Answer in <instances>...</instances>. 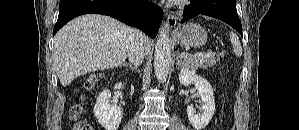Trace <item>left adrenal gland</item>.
Masks as SVG:
<instances>
[{
	"label": "left adrenal gland",
	"mask_w": 299,
	"mask_h": 130,
	"mask_svg": "<svg viewBox=\"0 0 299 130\" xmlns=\"http://www.w3.org/2000/svg\"><path fill=\"white\" fill-rule=\"evenodd\" d=\"M177 66L178 68L182 66L181 59L179 56L177 57Z\"/></svg>",
	"instance_id": "1"
}]
</instances>
